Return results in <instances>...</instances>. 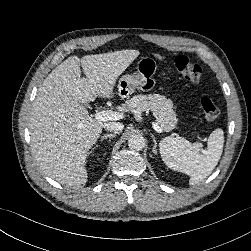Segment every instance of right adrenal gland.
Instances as JSON below:
<instances>
[{
    "instance_id": "2a0ac1e0",
    "label": "right adrenal gland",
    "mask_w": 251,
    "mask_h": 251,
    "mask_svg": "<svg viewBox=\"0 0 251 251\" xmlns=\"http://www.w3.org/2000/svg\"><path fill=\"white\" fill-rule=\"evenodd\" d=\"M116 136V133H114V134H105L104 136H102V141H103V139H107V138H109V139H111L112 137H115Z\"/></svg>"
}]
</instances>
